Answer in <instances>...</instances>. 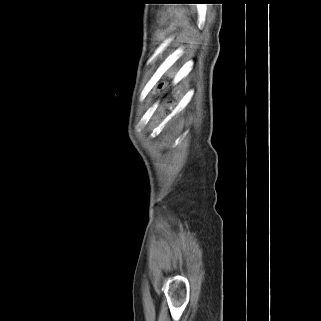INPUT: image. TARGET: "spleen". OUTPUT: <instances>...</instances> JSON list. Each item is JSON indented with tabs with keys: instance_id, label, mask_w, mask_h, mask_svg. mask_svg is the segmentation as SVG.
Returning <instances> with one entry per match:
<instances>
[{
	"instance_id": "obj_1",
	"label": "spleen",
	"mask_w": 321,
	"mask_h": 321,
	"mask_svg": "<svg viewBox=\"0 0 321 321\" xmlns=\"http://www.w3.org/2000/svg\"><path fill=\"white\" fill-rule=\"evenodd\" d=\"M173 74H174V72H171V73H170V75H173Z\"/></svg>"
}]
</instances>
